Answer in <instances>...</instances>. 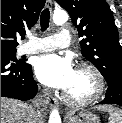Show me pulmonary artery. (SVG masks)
Wrapping results in <instances>:
<instances>
[{
    "instance_id": "obj_1",
    "label": "pulmonary artery",
    "mask_w": 122,
    "mask_h": 123,
    "mask_svg": "<svg viewBox=\"0 0 122 123\" xmlns=\"http://www.w3.org/2000/svg\"><path fill=\"white\" fill-rule=\"evenodd\" d=\"M71 37L68 30L63 29L56 35L44 38L31 37L29 42L19 48L20 54H35L66 48L70 45Z\"/></svg>"
}]
</instances>
